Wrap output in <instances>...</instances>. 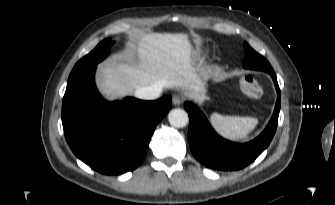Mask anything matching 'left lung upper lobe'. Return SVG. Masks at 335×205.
<instances>
[{
  "label": "left lung upper lobe",
  "mask_w": 335,
  "mask_h": 205,
  "mask_svg": "<svg viewBox=\"0 0 335 205\" xmlns=\"http://www.w3.org/2000/svg\"><path fill=\"white\" fill-rule=\"evenodd\" d=\"M245 48V61L243 66L247 69L260 70L264 72H272L273 69L270 63L256 51H254L246 42Z\"/></svg>",
  "instance_id": "5c2ea615"
}]
</instances>
